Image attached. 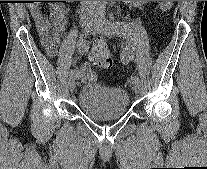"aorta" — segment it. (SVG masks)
I'll list each match as a JSON object with an SVG mask.
<instances>
[{
  "label": "aorta",
  "mask_w": 207,
  "mask_h": 169,
  "mask_svg": "<svg viewBox=\"0 0 207 169\" xmlns=\"http://www.w3.org/2000/svg\"><path fill=\"white\" fill-rule=\"evenodd\" d=\"M107 1H95L96 4L103 5L106 4ZM130 2V1H128Z\"/></svg>",
  "instance_id": "obj_1"
}]
</instances>
